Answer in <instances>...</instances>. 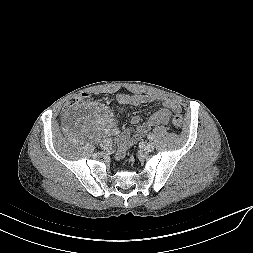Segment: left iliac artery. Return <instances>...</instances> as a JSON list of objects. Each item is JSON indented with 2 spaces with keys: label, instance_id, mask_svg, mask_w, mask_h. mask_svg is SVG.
<instances>
[{
  "label": "left iliac artery",
  "instance_id": "obj_1",
  "mask_svg": "<svg viewBox=\"0 0 253 253\" xmlns=\"http://www.w3.org/2000/svg\"><path fill=\"white\" fill-rule=\"evenodd\" d=\"M147 138L149 140H153L154 139V135L152 133H149L148 136H147Z\"/></svg>",
  "mask_w": 253,
  "mask_h": 253
}]
</instances>
